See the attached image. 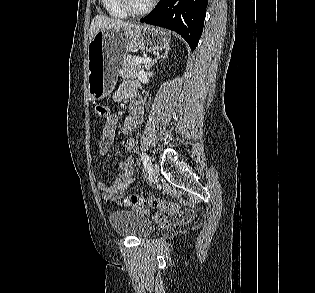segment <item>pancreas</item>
Segmentation results:
<instances>
[{"label": "pancreas", "instance_id": "pancreas-1", "mask_svg": "<svg viewBox=\"0 0 315 293\" xmlns=\"http://www.w3.org/2000/svg\"><path fill=\"white\" fill-rule=\"evenodd\" d=\"M135 57L125 56L123 58L122 69L120 76L123 79H135L138 72L141 70V64L134 61Z\"/></svg>", "mask_w": 315, "mask_h": 293}]
</instances>
